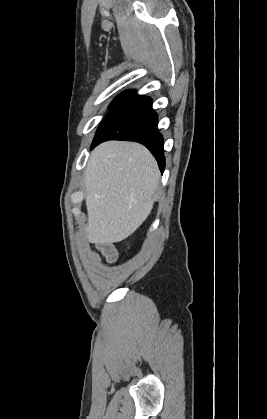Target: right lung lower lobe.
Wrapping results in <instances>:
<instances>
[{
	"label": "right lung lower lobe",
	"mask_w": 267,
	"mask_h": 419,
	"mask_svg": "<svg viewBox=\"0 0 267 419\" xmlns=\"http://www.w3.org/2000/svg\"><path fill=\"white\" fill-rule=\"evenodd\" d=\"M158 116L149 97L128 94L107 114L92 142L91 149L107 140L134 141L146 146L156 158L161 172L165 168L163 137L157 130Z\"/></svg>",
	"instance_id": "right-lung-lower-lobe-1"
}]
</instances>
